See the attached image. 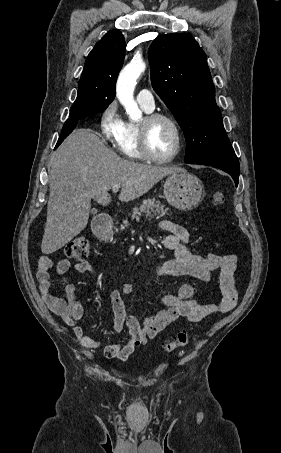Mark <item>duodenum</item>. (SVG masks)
Masks as SVG:
<instances>
[{
  "label": "duodenum",
  "instance_id": "duodenum-1",
  "mask_svg": "<svg viewBox=\"0 0 281 453\" xmlns=\"http://www.w3.org/2000/svg\"><path fill=\"white\" fill-rule=\"evenodd\" d=\"M111 227V220L109 218H99L93 227L94 234L99 238H105Z\"/></svg>",
  "mask_w": 281,
  "mask_h": 453
}]
</instances>
